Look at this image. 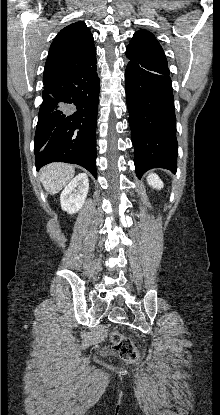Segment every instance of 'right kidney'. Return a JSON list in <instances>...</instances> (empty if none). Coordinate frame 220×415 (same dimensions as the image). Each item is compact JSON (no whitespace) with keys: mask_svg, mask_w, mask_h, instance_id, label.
<instances>
[{"mask_svg":"<svg viewBox=\"0 0 220 415\" xmlns=\"http://www.w3.org/2000/svg\"><path fill=\"white\" fill-rule=\"evenodd\" d=\"M88 190V176L85 173L78 174L62 191L61 208L69 214L78 212L85 203Z\"/></svg>","mask_w":220,"mask_h":415,"instance_id":"obj_1","label":"right kidney"}]
</instances>
